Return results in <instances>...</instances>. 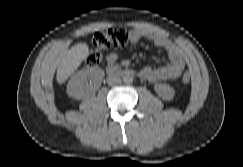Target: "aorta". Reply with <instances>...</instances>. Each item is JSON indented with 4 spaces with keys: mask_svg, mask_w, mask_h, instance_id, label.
Returning <instances> with one entry per match:
<instances>
[{
    "mask_svg": "<svg viewBox=\"0 0 243 167\" xmlns=\"http://www.w3.org/2000/svg\"><path fill=\"white\" fill-rule=\"evenodd\" d=\"M122 80L124 83L130 84L133 81V76L129 73L123 75Z\"/></svg>",
    "mask_w": 243,
    "mask_h": 167,
    "instance_id": "1",
    "label": "aorta"
}]
</instances>
